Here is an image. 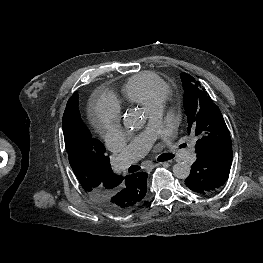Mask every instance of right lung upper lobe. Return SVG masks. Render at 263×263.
I'll use <instances>...</instances> for the list:
<instances>
[{
  "mask_svg": "<svg viewBox=\"0 0 263 263\" xmlns=\"http://www.w3.org/2000/svg\"><path fill=\"white\" fill-rule=\"evenodd\" d=\"M63 133H64L65 146H66V150H67V153L69 156V162H70V153H71V150L73 149V140H72L71 133L64 128H63ZM103 150H104V154L100 155L99 185L91 193H103V192L110 191L111 187H109L108 185L114 183L116 180H119V179L124 180L125 178L129 176L128 175L126 177H122V176H118L115 173H113L111 166H110L109 157L106 156L105 154L106 150H105L104 145H103ZM127 190L129 194V200L126 203V205L123 206L118 212H128L136 208L140 204L141 200L144 198L146 194L145 187L135 185V184H129Z\"/></svg>",
  "mask_w": 263,
  "mask_h": 263,
  "instance_id": "right-lung-upper-lobe-1",
  "label": "right lung upper lobe"
}]
</instances>
